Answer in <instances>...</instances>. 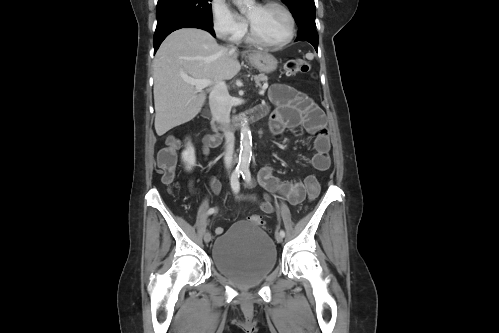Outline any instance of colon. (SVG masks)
<instances>
[{
    "label": "colon",
    "mask_w": 499,
    "mask_h": 333,
    "mask_svg": "<svg viewBox=\"0 0 499 333\" xmlns=\"http://www.w3.org/2000/svg\"><path fill=\"white\" fill-rule=\"evenodd\" d=\"M286 69L293 74L307 73L310 70V64L303 59H293L287 62ZM177 149L178 141L175 138H171L168 141V146L162 149L158 156V166L162 175V182L169 186L173 185L175 182ZM303 186L308 200L312 201L318 197L320 193V184L314 175H308L304 179ZM248 220L259 226L263 225L262 219L257 215L249 216Z\"/></svg>",
    "instance_id": "obj_1"
}]
</instances>
